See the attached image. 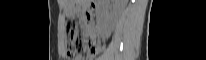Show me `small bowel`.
<instances>
[{"label": "small bowel", "mask_w": 206, "mask_h": 60, "mask_svg": "<svg viewBox=\"0 0 206 60\" xmlns=\"http://www.w3.org/2000/svg\"><path fill=\"white\" fill-rule=\"evenodd\" d=\"M87 17L90 18L89 13H87ZM89 53L92 56L95 53V40L92 38L89 42ZM81 56H77L75 60H82Z\"/></svg>", "instance_id": "small-bowel-1"}]
</instances>
